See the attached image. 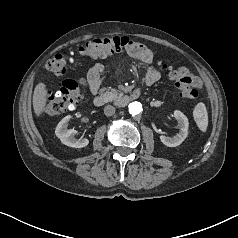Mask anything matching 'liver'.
<instances>
[{
	"label": "liver",
	"mask_w": 238,
	"mask_h": 238,
	"mask_svg": "<svg viewBox=\"0 0 238 238\" xmlns=\"http://www.w3.org/2000/svg\"><path fill=\"white\" fill-rule=\"evenodd\" d=\"M48 90L46 85L42 82L35 86L33 93V110L37 117H39L44 111L47 102Z\"/></svg>",
	"instance_id": "6515ba94"
}]
</instances>
